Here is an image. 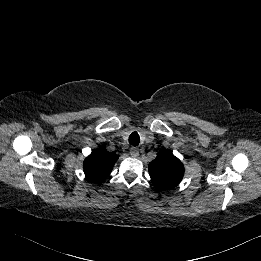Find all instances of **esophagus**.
<instances>
[{
  "label": "esophagus",
  "instance_id": "obj_1",
  "mask_svg": "<svg viewBox=\"0 0 261 261\" xmlns=\"http://www.w3.org/2000/svg\"><path fill=\"white\" fill-rule=\"evenodd\" d=\"M130 155L134 158L139 156V149L137 147H131Z\"/></svg>",
  "mask_w": 261,
  "mask_h": 261
}]
</instances>
